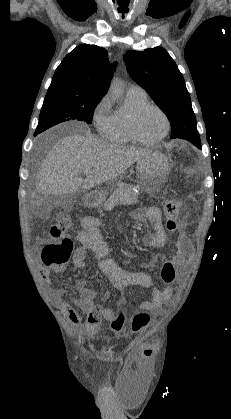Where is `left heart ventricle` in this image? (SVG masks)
I'll use <instances>...</instances> for the list:
<instances>
[{"label":"left heart ventricle","instance_id":"1","mask_svg":"<svg viewBox=\"0 0 231 419\" xmlns=\"http://www.w3.org/2000/svg\"><path fill=\"white\" fill-rule=\"evenodd\" d=\"M165 120L155 109L146 110L138 120V128L141 135L146 139H156L165 131Z\"/></svg>","mask_w":231,"mask_h":419}]
</instances>
